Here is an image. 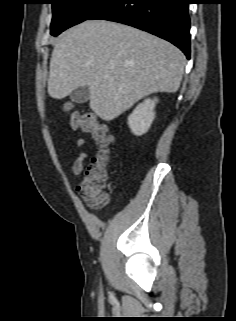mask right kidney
<instances>
[{"label":"right kidney","instance_id":"right-kidney-1","mask_svg":"<svg viewBox=\"0 0 236 321\" xmlns=\"http://www.w3.org/2000/svg\"><path fill=\"white\" fill-rule=\"evenodd\" d=\"M157 102V98L146 99L129 115L128 125L134 135L141 136L149 130L155 118L154 109Z\"/></svg>","mask_w":236,"mask_h":321}]
</instances>
